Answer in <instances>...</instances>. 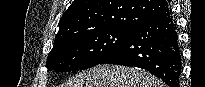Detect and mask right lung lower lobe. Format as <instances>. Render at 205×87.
I'll return each mask as SVG.
<instances>
[{
	"label": "right lung lower lobe",
	"mask_w": 205,
	"mask_h": 87,
	"mask_svg": "<svg viewBox=\"0 0 205 87\" xmlns=\"http://www.w3.org/2000/svg\"><path fill=\"white\" fill-rule=\"evenodd\" d=\"M99 64L138 67L159 77L170 87H179L182 60L170 11L140 25Z\"/></svg>",
	"instance_id": "98d812e1"
}]
</instances>
